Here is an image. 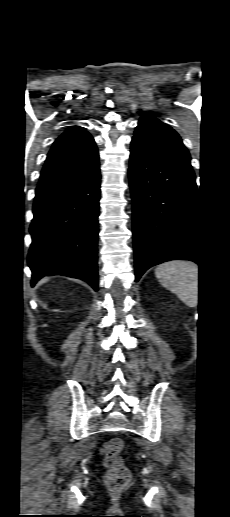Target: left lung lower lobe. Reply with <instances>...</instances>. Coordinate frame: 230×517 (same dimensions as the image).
<instances>
[{
    "label": "left lung lower lobe",
    "instance_id": "1",
    "mask_svg": "<svg viewBox=\"0 0 230 517\" xmlns=\"http://www.w3.org/2000/svg\"><path fill=\"white\" fill-rule=\"evenodd\" d=\"M129 179L136 281L165 261L183 259L201 265L191 164L131 145Z\"/></svg>",
    "mask_w": 230,
    "mask_h": 517
}]
</instances>
